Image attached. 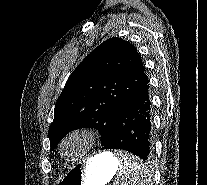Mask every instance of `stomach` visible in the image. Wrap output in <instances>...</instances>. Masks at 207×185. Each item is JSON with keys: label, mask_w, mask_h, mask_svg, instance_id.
I'll use <instances>...</instances> for the list:
<instances>
[{"label": "stomach", "mask_w": 207, "mask_h": 185, "mask_svg": "<svg viewBox=\"0 0 207 185\" xmlns=\"http://www.w3.org/2000/svg\"><path fill=\"white\" fill-rule=\"evenodd\" d=\"M118 168L117 158L110 152H103L73 166L58 185H105Z\"/></svg>", "instance_id": "obj_1"}]
</instances>
